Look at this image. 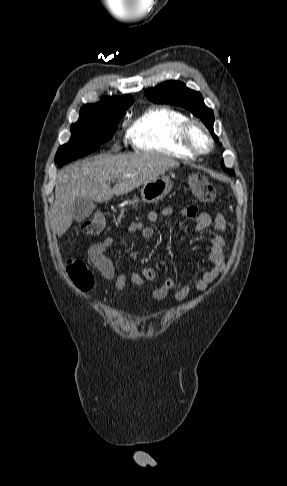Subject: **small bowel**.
<instances>
[{
    "mask_svg": "<svg viewBox=\"0 0 287 486\" xmlns=\"http://www.w3.org/2000/svg\"><path fill=\"white\" fill-rule=\"evenodd\" d=\"M176 210L172 207H165L160 210H152L147 214V219L150 222H157L162 218L172 216ZM177 213L185 218L191 219L194 222L193 231L196 233H202L207 231L212 224H214L217 231L210 237V246L207 251V258L209 267L205 270L200 278L194 283V288L197 291H205L208 286L213 283L226 269L224 247L226 240L224 233L226 231V220L223 215H217L214 219L211 215L204 211H199L195 206H189L180 208ZM128 231L130 233L139 232L144 239H151L155 236V230L146 226L142 221L131 222L128 225ZM114 239L112 237H106L103 240L93 244L88 250V257L91 263L101 273L103 277L109 280L115 281V288L118 291H122L128 280L126 273L121 272L117 276L115 275V269L112 261L107 256V251L113 245ZM157 277L156 270L151 267H144L136 272H133L129 279L136 286H143L146 281L155 280ZM193 285L187 283L174 291V299L177 301L185 300L192 289ZM176 288V282L172 278H167L163 284L155 288L152 292V296L156 300H162L167 297L169 292Z\"/></svg>",
    "mask_w": 287,
    "mask_h": 486,
    "instance_id": "small-bowel-1",
    "label": "small bowel"
}]
</instances>
